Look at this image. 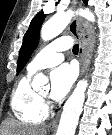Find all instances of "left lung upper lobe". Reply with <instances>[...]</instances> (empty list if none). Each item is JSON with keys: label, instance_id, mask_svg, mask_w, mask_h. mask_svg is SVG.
<instances>
[{"label": "left lung upper lobe", "instance_id": "5c2ea615", "mask_svg": "<svg viewBox=\"0 0 112 135\" xmlns=\"http://www.w3.org/2000/svg\"><path fill=\"white\" fill-rule=\"evenodd\" d=\"M83 2L87 4L88 0H83ZM44 19L45 15L43 13L38 14L31 21L30 26L24 35L23 44L20 49L17 63V74H19L23 67L26 65L30 55L38 44L40 27Z\"/></svg>", "mask_w": 112, "mask_h": 135}]
</instances>
